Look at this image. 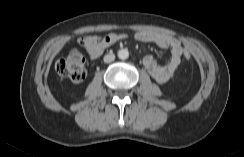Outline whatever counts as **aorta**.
Returning a JSON list of instances; mask_svg holds the SVG:
<instances>
[{"label":"aorta","mask_w":244,"mask_h":157,"mask_svg":"<svg viewBox=\"0 0 244 157\" xmlns=\"http://www.w3.org/2000/svg\"><path fill=\"white\" fill-rule=\"evenodd\" d=\"M119 59L125 60L129 57V51L128 49H120L117 53Z\"/></svg>","instance_id":"aorta-1"}]
</instances>
